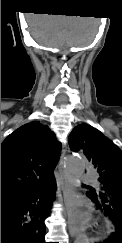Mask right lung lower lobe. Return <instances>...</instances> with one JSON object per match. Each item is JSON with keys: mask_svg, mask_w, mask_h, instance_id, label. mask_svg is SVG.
Instances as JSON below:
<instances>
[{"mask_svg": "<svg viewBox=\"0 0 122 243\" xmlns=\"http://www.w3.org/2000/svg\"><path fill=\"white\" fill-rule=\"evenodd\" d=\"M57 188L54 175L1 196V243H46L45 219Z\"/></svg>", "mask_w": 122, "mask_h": 243, "instance_id": "obj_1", "label": "right lung lower lobe"}]
</instances>
